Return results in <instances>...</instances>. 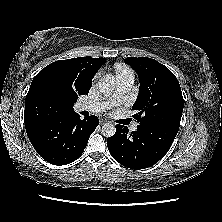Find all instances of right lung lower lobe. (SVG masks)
I'll list each match as a JSON object with an SVG mask.
<instances>
[{"mask_svg": "<svg viewBox=\"0 0 222 222\" xmlns=\"http://www.w3.org/2000/svg\"><path fill=\"white\" fill-rule=\"evenodd\" d=\"M99 124L96 116L80 119L76 113L47 121L27 131L37 153L53 165H65L83 153Z\"/></svg>", "mask_w": 222, "mask_h": 222, "instance_id": "98d812e1", "label": "right lung lower lobe"}]
</instances>
